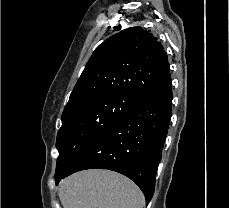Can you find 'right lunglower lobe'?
<instances>
[{
	"instance_id": "right-lung-lower-lobe-1",
	"label": "right lung lower lobe",
	"mask_w": 229,
	"mask_h": 208,
	"mask_svg": "<svg viewBox=\"0 0 229 208\" xmlns=\"http://www.w3.org/2000/svg\"><path fill=\"white\" fill-rule=\"evenodd\" d=\"M171 83L138 103L111 127L89 142L59 181L77 171L99 168L119 172L144 193L146 205L155 190V176L162 157L172 111Z\"/></svg>"
}]
</instances>
